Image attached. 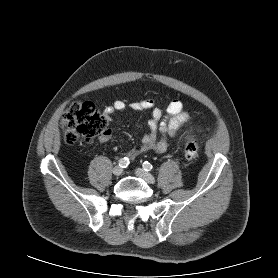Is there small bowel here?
<instances>
[{
	"label": "small bowel",
	"instance_id": "1",
	"mask_svg": "<svg viewBox=\"0 0 278 278\" xmlns=\"http://www.w3.org/2000/svg\"><path fill=\"white\" fill-rule=\"evenodd\" d=\"M129 107L134 111H151V118L148 121V132L142 137L141 145L126 152V156L130 159L137 155L153 151L163 153L168 148L167 136H174L178 130L189 120L190 116L185 111L184 106L179 100H172L166 109V112L155 106L151 99H144L132 102L127 105L123 101H116L112 105L105 108V115L110 117L115 113L123 112ZM111 136V131L106 132L101 136L102 140H108Z\"/></svg>",
	"mask_w": 278,
	"mask_h": 278
}]
</instances>
